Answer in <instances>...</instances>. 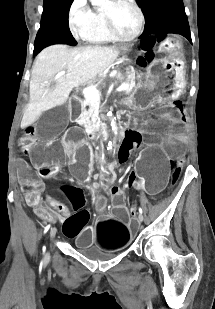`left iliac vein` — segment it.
Masks as SVG:
<instances>
[{
	"label": "left iliac vein",
	"instance_id": "left-iliac-vein-1",
	"mask_svg": "<svg viewBox=\"0 0 215 309\" xmlns=\"http://www.w3.org/2000/svg\"><path fill=\"white\" fill-rule=\"evenodd\" d=\"M143 219H144L143 215H140V214H139V216H138V222L141 223V222L143 221Z\"/></svg>",
	"mask_w": 215,
	"mask_h": 309
}]
</instances>
